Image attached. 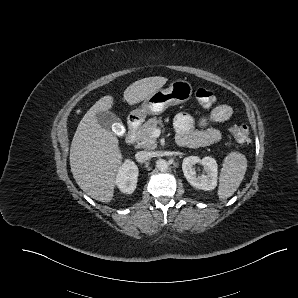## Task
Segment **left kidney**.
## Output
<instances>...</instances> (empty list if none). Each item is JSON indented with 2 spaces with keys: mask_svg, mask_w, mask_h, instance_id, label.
<instances>
[{
  "mask_svg": "<svg viewBox=\"0 0 298 298\" xmlns=\"http://www.w3.org/2000/svg\"><path fill=\"white\" fill-rule=\"evenodd\" d=\"M202 164V173H197L194 165ZM183 174L190 185L196 189L210 191L217 187L219 180V164L216 158L212 156L185 157L182 162Z\"/></svg>",
  "mask_w": 298,
  "mask_h": 298,
  "instance_id": "left-kidney-1",
  "label": "left kidney"
}]
</instances>
